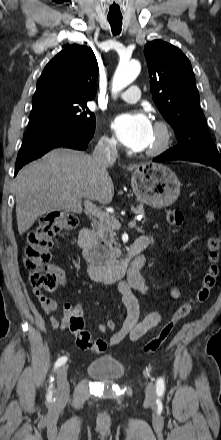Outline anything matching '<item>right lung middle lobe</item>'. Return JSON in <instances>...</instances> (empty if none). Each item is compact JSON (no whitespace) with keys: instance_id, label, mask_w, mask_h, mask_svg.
Masks as SVG:
<instances>
[{"instance_id":"1","label":"right lung middle lobe","mask_w":221,"mask_h":440,"mask_svg":"<svg viewBox=\"0 0 221 440\" xmlns=\"http://www.w3.org/2000/svg\"><path fill=\"white\" fill-rule=\"evenodd\" d=\"M43 128L93 135L95 116L86 103L48 102L33 105L27 131Z\"/></svg>"}]
</instances>
